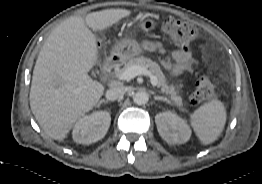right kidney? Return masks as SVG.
Here are the masks:
<instances>
[{
	"label": "right kidney",
	"instance_id": "ca27d5eb",
	"mask_svg": "<svg viewBox=\"0 0 262 184\" xmlns=\"http://www.w3.org/2000/svg\"><path fill=\"white\" fill-rule=\"evenodd\" d=\"M111 117L107 111H97L80 118L74 125L73 140L79 144H91L102 139L108 131Z\"/></svg>",
	"mask_w": 262,
	"mask_h": 184
}]
</instances>
